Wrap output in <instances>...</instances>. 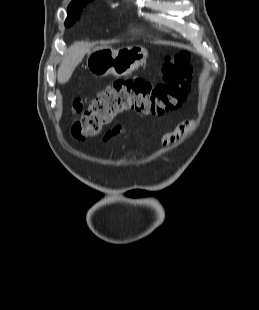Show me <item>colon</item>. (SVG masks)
I'll use <instances>...</instances> for the list:
<instances>
[{"mask_svg": "<svg viewBox=\"0 0 259 310\" xmlns=\"http://www.w3.org/2000/svg\"><path fill=\"white\" fill-rule=\"evenodd\" d=\"M161 71L163 81L156 85L142 78L113 82L92 99L86 109L83 98H75L73 110L78 118L71 129L74 138L83 140L100 134L104 126L127 111L161 115L178 107L190 89L189 53L166 56Z\"/></svg>", "mask_w": 259, "mask_h": 310, "instance_id": "5ec220e1", "label": "colon"}]
</instances>
